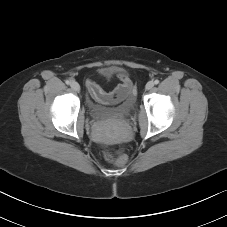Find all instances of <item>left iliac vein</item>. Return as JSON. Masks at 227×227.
<instances>
[{
	"label": "left iliac vein",
	"mask_w": 227,
	"mask_h": 227,
	"mask_svg": "<svg viewBox=\"0 0 227 227\" xmlns=\"http://www.w3.org/2000/svg\"><path fill=\"white\" fill-rule=\"evenodd\" d=\"M153 86H154V82L153 81H149L146 84L145 88H146V90H150Z\"/></svg>",
	"instance_id": "obj_1"
}]
</instances>
